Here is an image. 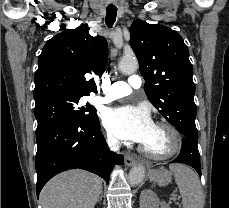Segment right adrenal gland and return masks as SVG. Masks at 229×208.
Wrapping results in <instances>:
<instances>
[{
	"label": "right adrenal gland",
	"instance_id": "1",
	"mask_svg": "<svg viewBox=\"0 0 229 208\" xmlns=\"http://www.w3.org/2000/svg\"><path fill=\"white\" fill-rule=\"evenodd\" d=\"M102 200V196H100L99 200H97L96 204H98V202H101Z\"/></svg>",
	"mask_w": 229,
	"mask_h": 208
}]
</instances>
